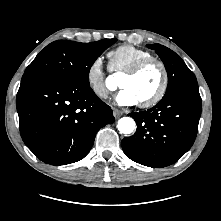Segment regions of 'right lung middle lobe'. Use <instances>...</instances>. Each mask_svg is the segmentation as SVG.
<instances>
[{
  "label": "right lung middle lobe",
  "instance_id": "right-lung-middle-lobe-1",
  "mask_svg": "<svg viewBox=\"0 0 221 221\" xmlns=\"http://www.w3.org/2000/svg\"><path fill=\"white\" fill-rule=\"evenodd\" d=\"M117 39L91 43L58 40L46 46L26 68L24 75H54L89 84V71L95 60Z\"/></svg>",
  "mask_w": 221,
  "mask_h": 221
}]
</instances>
